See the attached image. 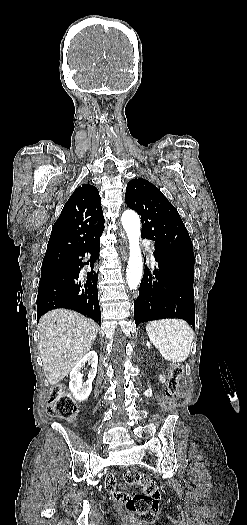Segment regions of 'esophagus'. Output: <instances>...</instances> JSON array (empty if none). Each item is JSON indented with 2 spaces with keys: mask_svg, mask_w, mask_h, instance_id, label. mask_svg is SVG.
Returning a JSON list of instances; mask_svg holds the SVG:
<instances>
[{
  "mask_svg": "<svg viewBox=\"0 0 247 525\" xmlns=\"http://www.w3.org/2000/svg\"><path fill=\"white\" fill-rule=\"evenodd\" d=\"M119 242H120V252L123 258H127V240L124 232L121 230L119 232Z\"/></svg>",
  "mask_w": 247,
  "mask_h": 525,
  "instance_id": "1",
  "label": "esophagus"
}]
</instances>
